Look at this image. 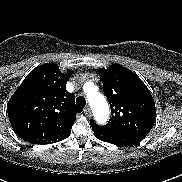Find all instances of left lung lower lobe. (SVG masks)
I'll return each mask as SVG.
<instances>
[{
    "label": "left lung lower lobe",
    "instance_id": "obj_1",
    "mask_svg": "<svg viewBox=\"0 0 182 182\" xmlns=\"http://www.w3.org/2000/svg\"><path fill=\"white\" fill-rule=\"evenodd\" d=\"M95 136L104 142H109L117 146H132L139 143L142 139L124 132L114 131L102 126L92 125Z\"/></svg>",
    "mask_w": 182,
    "mask_h": 182
}]
</instances>
